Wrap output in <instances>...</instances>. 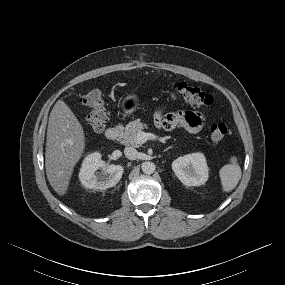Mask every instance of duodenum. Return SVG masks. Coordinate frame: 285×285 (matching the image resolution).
I'll use <instances>...</instances> for the list:
<instances>
[{
	"instance_id": "410a0bca",
	"label": "duodenum",
	"mask_w": 285,
	"mask_h": 285,
	"mask_svg": "<svg viewBox=\"0 0 285 285\" xmlns=\"http://www.w3.org/2000/svg\"><path fill=\"white\" fill-rule=\"evenodd\" d=\"M120 134H121V126L119 124L112 126L105 131V136L109 140L118 139Z\"/></svg>"
}]
</instances>
